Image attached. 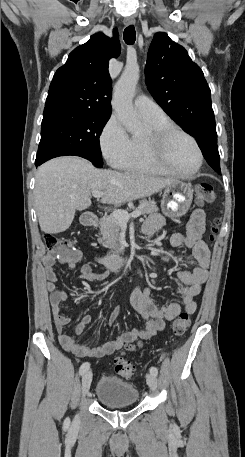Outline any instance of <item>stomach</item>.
<instances>
[{
  "mask_svg": "<svg viewBox=\"0 0 245 457\" xmlns=\"http://www.w3.org/2000/svg\"><path fill=\"white\" fill-rule=\"evenodd\" d=\"M161 200L162 212L170 218H180L186 214L193 198L191 184L176 180L164 186V192Z\"/></svg>",
  "mask_w": 245,
  "mask_h": 457,
  "instance_id": "stomach-1",
  "label": "stomach"
}]
</instances>
